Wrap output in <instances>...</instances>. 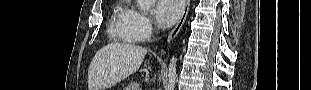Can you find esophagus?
Instances as JSON below:
<instances>
[{"mask_svg":"<svg viewBox=\"0 0 311 90\" xmlns=\"http://www.w3.org/2000/svg\"><path fill=\"white\" fill-rule=\"evenodd\" d=\"M189 7H190V0H185V5H184V9L182 11V14H181L176 26L168 35L167 42H171L177 36L179 31L181 30V28H182V26L186 20V17L188 15Z\"/></svg>","mask_w":311,"mask_h":90,"instance_id":"obj_1","label":"esophagus"}]
</instances>
